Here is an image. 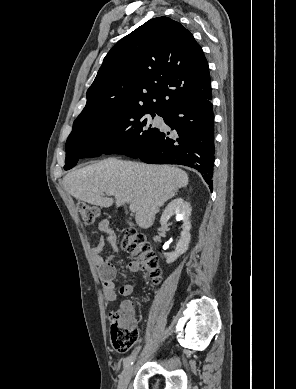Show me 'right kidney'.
<instances>
[{"label":"right kidney","mask_w":296,"mask_h":389,"mask_svg":"<svg viewBox=\"0 0 296 389\" xmlns=\"http://www.w3.org/2000/svg\"><path fill=\"white\" fill-rule=\"evenodd\" d=\"M191 206L188 202L184 201L182 198H177L172 200L164 209L162 216L160 218V223L162 227L167 226L169 219L176 215L177 220H182V231L175 252L169 253L166 255V262L168 264L174 262L179 256L185 253L188 249L190 240H191V222L189 217L191 216Z\"/></svg>","instance_id":"ca27d5eb"}]
</instances>
